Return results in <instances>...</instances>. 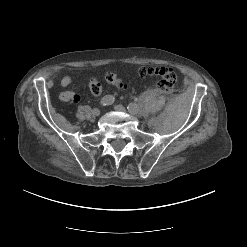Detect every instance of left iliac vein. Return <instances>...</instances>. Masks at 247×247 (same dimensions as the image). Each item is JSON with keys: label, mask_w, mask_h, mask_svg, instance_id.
<instances>
[{"label": "left iliac vein", "mask_w": 247, "mask_h": 247, "mask_svg": "<svg viewBox=\"0 0 247 247\" xmlns=\"http://www.w3.org/2000/svg\"><path fill=\"white\" fill-rule=\"evenodd\" d=\"M138 108V107H137ZM114 109L116 110V111H120V112H125L126 111V109H125V107H123L122 105H115L114 106ZM139 109V108H138Z\"/></svg>", "instance_id": "obj_1"}]
</instances>
